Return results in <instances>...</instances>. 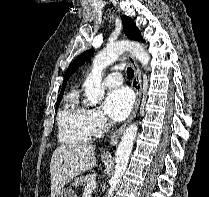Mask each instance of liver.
<instances>
[{"instance_id":"6515ba94","label":"liver","mask_w":209,"mask_h":197,"mask_svg":"<svg viewBox=\"0 0 209 197\" xmlns=\"http://www.w3.org/2000/svg\"><path fill=\"white\" fill-rule=\"evenodd\" d=\"M96 165L95 146L87 143L62 144L52 155L50 162L51 197L77 175Z\"/></svg>"}]
</instances>
